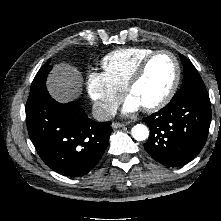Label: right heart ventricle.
I'll use <instances>...</instances> for the list:
<instances>
[{
	"label": "right heart ventricle",
	"instance_id": "obj_1",
	"mask_svg": "<svg viewBox=\"0 0 221 221\" xmlns=\"http://www.w3.org/2000/svg\"><path fill=\"white\" fill-rule=\"evenodd\" d=\"M153 51L148 47L120 48L104 56L101 65L104 73L124 90L138 64Z\"/></svg>",
	"mask_w": 221,
	"mask_h": 221
}]
</instances>
